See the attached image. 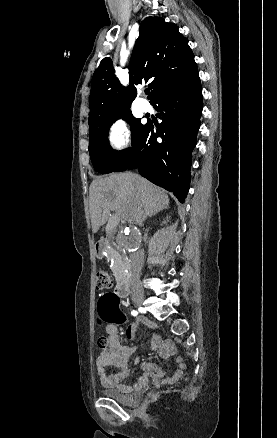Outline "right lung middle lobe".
<instances>
[{"label": "right lung middle lobe", "instance_id": "1", "mask_svg": "<svg viewBox=\"0 0 277 438\" xmlns=\"http://www.w3.org/2000/svg\"><path fill=\"white\" fill-rule=\"evenodd\" d=\"M119 117L121 116L107 122L89 125V154L95 170L100 173L113 172L130 155L145 128L140 119L132 114L123 115L122 118L131 126L132 147L121 152L115 151L109 146L108 131L111 124Z\"/></svg>", "mask_w": 277, "mask_h": 438}]
</instances>
